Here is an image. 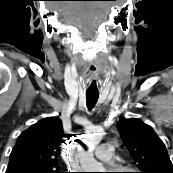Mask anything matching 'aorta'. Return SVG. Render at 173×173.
Listing matches in <instances>:
<instances>
[{"mask_svg":"<svg viewBox=\"0 0 173 173\" xmlns=\"http://www.w3.org/2000/svg\"><path fill=\"white\" fill-rule=\"evenodd\" d=\"M101 138V130L96 129L92 133H89L85 136V143L87 146L93 147L100 143ZM77 157L83 172H104L103 166L95 160L91 150L79 151Z\"/></svg>","mask_w":173,"mask_h":173,"instance_id":"762f6f07","label":"aorta"}]
</instances>
